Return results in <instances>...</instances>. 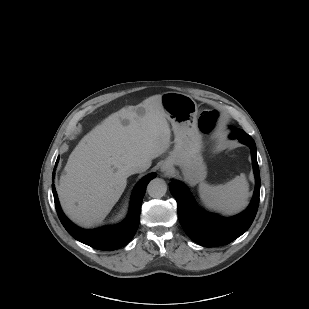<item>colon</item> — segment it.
I'll return each mask as SVG.
<instances>
[{
  "instance_id": "1",
  "label": "colon",
  "mask_w": 309,
  "mask_h": 309,
  "mask_svg": "<svg viewBox=\"0 0 309 309\" xmlns=\"http://www.w3.org/2000/svg\"><path fill=\"white\" fill-rule=\"evenodd\" d=\"M218 122V114L215 111H203L198 119V127L204 133L212 132Z\"/></svg>"
}]
</instances>
